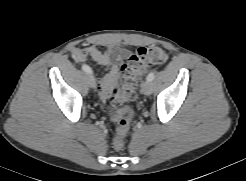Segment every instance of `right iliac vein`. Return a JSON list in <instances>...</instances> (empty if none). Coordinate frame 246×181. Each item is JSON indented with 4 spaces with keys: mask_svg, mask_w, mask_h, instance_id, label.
Here are the masks:
<instances>
[{
    "mask_svg": "<svg viewBox=\"0 0 246 181\" xmlns=\"http://www.w3.org/2000/svg\"><path fill=\"white\" fill-rule=\"evenodd\" d=\"M88 82H89L90 87H94L95 80H94V77L91 74L88 75Z\"/></svg>",
    "mask_w": 246,
    "mask_h": 181,
    "instance_id": "1",
    "label": "right iliac vein"
}]
</instances>
